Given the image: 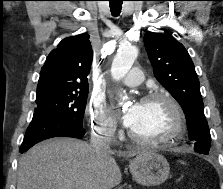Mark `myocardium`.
Instances as JSON below:
<instances>
[{
    "label": "myocardium",
    "instance_id": "1",
    "mask_svg": "<svg viewBox=\"0 0 223 189\" xmlns=\"http://www.w3.org/2000/svg\"><path fill=\"white\" fill-rule=\"evenodd\" d=\"M153 100H162L168 104L173 114V125L167 132L156 137H142L134 133L132 130H129L128 136L135 142L148 145L160 144L176 139L183 133L185 127V114L179 102L170 93L163 91L151 92L145 95L141 102Z\"/></svg>",
    "mask_w": 223,
    "mask_h": 189
}]
</instances>
